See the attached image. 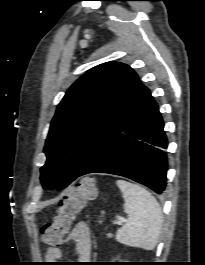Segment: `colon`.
<instances>
[{
    "label": "colon",
    "instance_id": "1",
    "mask_svg": "<svg viewBox=\"0 0 205 265\" xmlns=\"http://www.w3.org/2000/svg\"><path fill=\"white\" fill-rule=\"evenodd\" d=\"M97 194L95 180L85 177L72 186L61 200L55 216L41 228V241L47 245H58L67 233L76 215Z\"/></svg>",
    "mask_w": 205,
    "mask_h": 265
}]
</instances>
